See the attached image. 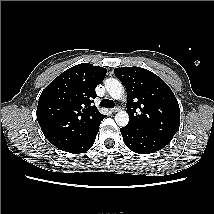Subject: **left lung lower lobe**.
<instances>
[{
  "mask_svg": "<svg viewBox=\"0 0 214 214\" xmlns=\"http://www.w3.org/2000/svg\"><path fill=\"white\" fill-rule=\"evenodd\" d=\"M121 134L125 145L133 152L139 154L159 151L172 140V137L128 125L121 129Z\"/></svg>",
  "mask_w": 214,
  "mask_h": 214,
  "instance_id": "left-lung-lower-lobe-1",
  "label": "left lung lower lobe"
}]
</instances>
